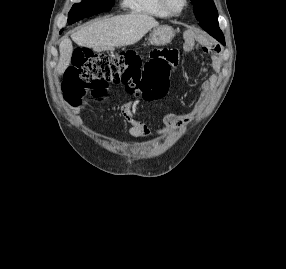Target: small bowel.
I'll use <instances>...</instances> for the list:
<instances>
[{"instance_id": "1", "label": "small bowel", "mask_w": 286, "mask_h": 269, "mask_svg": "<svg viewBox=\"0 0 286 269\" xmlns=\"http://www.w3.org/2000/svg\"><path fill=\"white\" fill-rule=\"evenodd\" d=\"M194 47V42L192 40H189V42L185 43L184 49L187 52L192 51ZM203 50L206 53H209L214 58L212 63V69L214 73H211L209 77L204 80L199 87V97L195 104V110L200 111L202 110L211 93V90L216 85L217 82V76L215 72L219 68V64L217 61V55L220 51L219 46L214 44H207L203 47ZM178 55L177 58L172 61V67L176 68L178 66ZM203 72H207L208 68L203 67ZM137 114V108L135 106H126L121 110V115L125 119V121L130 124V128L128 130V134L131 138L136 139L140 137H149L150 136V129L148 125L136 118ZM155 116L161 120L162 128L165 131H171L176 129H181L188 124L191 123L193 120V116L191 113H184V114H175V113H156Z\"/></svg>"}]
</instances>
